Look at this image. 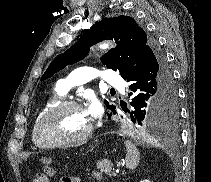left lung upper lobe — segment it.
<instances>
[{
  "instance_id": "obj_1",
  "label": "left lung upper lobe",
  "mask_w": 211,
  "mask_h": 182,
  "mask_svg": "<svg viewBox=\"0 0 211 182\" xmlns=\"http://www.w3.org/2000/svg\"><path fill=\"white\" fill-rule=\"evenodd\" d=\"M105 39H114L117 46L107 52L101 61L107 68L118 70L123 79L135 68L143 51L150 44L147 34L132 17L121 15L114 18H103L89 30H85L79 40L64 54L58 55L49 65L41 80L49 78L68 64L82 60L92 45ZM105 105L111 109L112 113H116L115 106H108L107 101ZM111 114H108L109 119ZM175 124L176 122L167 125L170 128Z\"/></svg>"
}]
</instances>
